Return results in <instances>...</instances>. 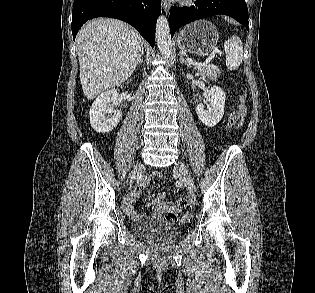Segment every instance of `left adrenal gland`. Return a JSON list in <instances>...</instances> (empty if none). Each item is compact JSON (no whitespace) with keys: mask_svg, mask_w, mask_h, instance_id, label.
<instances>
[{"mask_svg":"<svg viewBox=\"0 0 315 293\" xmlns=\"http://www.w3.org/2000/svg\"><path fill=\"white\" fill-rule=\"evenodd\" d=\"M179 57H180V63L181 64H186L187 65V67H189L190 68V65L186 62V60L183 58V56L179 53Z\"/></svg>","mask_w":315,"mask_h":293,"instance_id":"1","label":"left adrenal gland"}]
</instances>
